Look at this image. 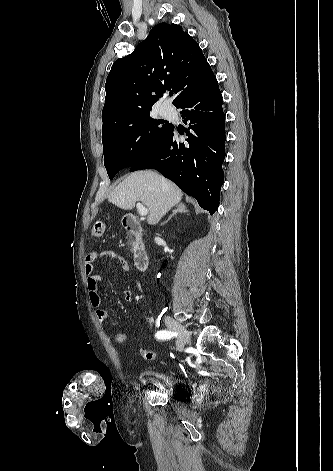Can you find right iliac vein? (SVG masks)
Returning <instances> with one entry per match:
<instances>
[{
    "mask_svg": "<svg viewBox=\"0 0 333 471\" xmlns=\"http://www.w3.org/2000/svg\"><path fill=\"white\" fill-rule=\"evenodd\" d=\"M165 324L169 329L177 333L178 335L177 350L181 352L189 340L188 331L181 323H179L177 320H175L174 318L170 316H167L165 318Z\"/></svg>",
    "mask_w": 333,
    "mask_h": 471,
    "instance_id": "63e3f726",
    "label": "right iliac vein"
}]
</instances>
